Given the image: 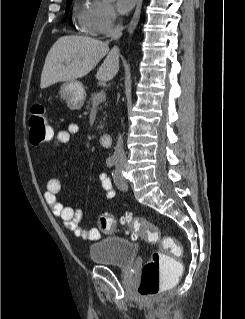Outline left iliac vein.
I'll return each instance as SVG.
<instances>
[{"label":"left iliac vein","instance_id":"4c4485c4","mask_svg":"<svg viewBox=\"0 0 245 319\" xmlns=\"http://www.w3.org/2000/svg\"><path fill=\"white\" fill-rule=\"evenodd\" d=\"M124 166L122 164L117 165V173H118V180L115 184L122 190H126L128 188L127 181L122 175V170Z\"/></svg>","mask_w":245,"mask_h":319}]
</instances>
